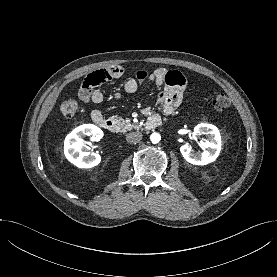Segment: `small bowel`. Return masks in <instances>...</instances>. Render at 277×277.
I'll list each match as a JSON object with an SVG mask.
<instances>
[{
	"label": "small bowel",
	"mask_w": 277,
	"mask_h": 277,
	"mask_svg": "<svg viewBox=\"0 0 277 277\" xmlns=\"http://www.w3.org/2000/svg\"><path fill=\"white\" fill-rule=\"evenodd\" d=\"M122 74L123 69L120 66H109L90 73L78 90L79 99L83 102L101 103L104 95L99 86L121 77ZM144 82H153L159 88L155 104L144 109L146 114H151L155 108H158L164 114L170 115L180 106L186 88V80L180 72L169 71L165 68H158L152 72L139 70L134 78L125 81L124 91L128 94H133ZM121 97V92L114 94L115 99H120ZM91 118L96 123L103 118L102 112L99 110L92 111Z\"/></svg>",
	"instance_id": "c3829d8e"
}]
</instances>
